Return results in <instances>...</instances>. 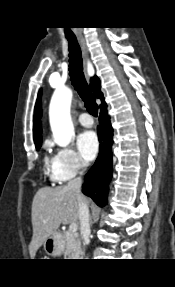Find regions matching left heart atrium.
Returning <instances> with one entry per match:
<instances>
[{"instance_id":"obj_1","label":"left heart atrium","mask_w":175,"mask_h":287,"mask_svg":"<svg viewBox=\"0 0 175 287\" xmlns=\"http://www.w3.org/2000/svg\"><path fill=\"white\" fill-rule=\"evenodd\" d=\"M77 147L84 159L91 161L95 158L99 142L96 134L93 131H84L78 136Z\"/></svg>"}]
</instances>
